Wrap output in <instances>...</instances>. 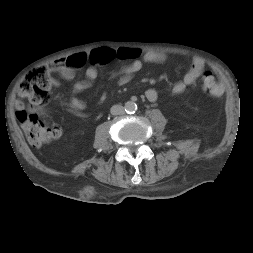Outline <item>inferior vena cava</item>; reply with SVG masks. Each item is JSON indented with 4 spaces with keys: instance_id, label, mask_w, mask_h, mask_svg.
I'll list each match as a JSON object with an SVG mask.
<instances>
[{
    "instance_id": "inferior-vena-cava-1",
    "label": "inferior vena cava",
    "mask_w": 253,
    "mask_h": 253,
    "mask_svg": "<svg viewBox=\"0 0 253 253\" xmlns=\"http://www.w3.org/2000/svg\"><path fill=\"white\" fill-rule=\"evenodd\" d=\"M110 111L112 115H123L125 113L124 107L121 105L112 106Z\"/></svg>"
}]
</instances>
